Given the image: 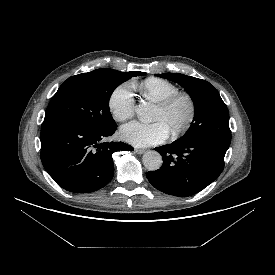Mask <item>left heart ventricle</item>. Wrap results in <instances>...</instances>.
<instances>
[{
	"instance_id": "1",
	"label": "left heart ventricle",
	"mask_w": 275,
	"mask_h": 275,
	"mask_svg": "<svg viewBox=\"0 0 275 275\" xmlns=\"http://www.w3.org/2000/svg\"><path fill=\"white\" fill-rule=\"evenodd\" d=\"M188 112L189 107L187 102L184 99H180L167 111H162L157 108L153 119L155 121H161L171 133L184 123Z\"/></svg>"
}]
</instances>
